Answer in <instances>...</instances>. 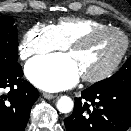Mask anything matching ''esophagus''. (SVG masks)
I'll list each match as a JSON object with an SVG mask.
<instances>
[{
    "label": "esophagus",
    "instance_id": "34e87169",
    "mask_svg": "<svg viewBox=\"0 0 131 131\" xmlns=\"http://www.w3.org/2000/svg\"><path fill=\"white\" fill-rule=\"evenodd\" d=\"M43 97H44L45 99L50 100V99H53V98L55 97V95L44 92V93H43Z\"/></svg>",
    "mask_w": 131,
    "mask_h": 131
}]
</instances>
